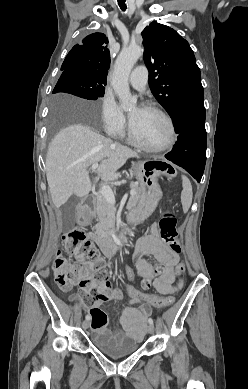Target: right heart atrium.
Here are the masks:
<instances>
[{
	"mask_svg": "<svg viewBox=\"0 0 248 389\" xmlns=\"http://www.w3.org/2000/svg\"><path fill=\"white\" fill-rule=\"evenodd\" d=\"M101 119L104 130L113 136H120L126 129V117L114 96L105 93L101 101Z\"/></svg>",
	"mask_w": 248,
	"mask_h": 389,
	"instance_id": "1",
	"label": "right heart atrium"
}]
</instances>
